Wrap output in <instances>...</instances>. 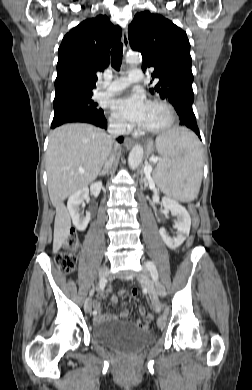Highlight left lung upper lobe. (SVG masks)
I'll return each mask as SVG.
<instances>
[{
  "label": "left lung upper lobe",
  "instance_id": "left-lung-upper-lobe-1",
  "mask_svg": "<svg viewBox=\"0 0 252 390\" xmlns=\"http://www.w3.org/2000/svg\"><path fill=\"white\" fill-rule=\"evenodd\" d=\"M133 50L142 54V70L154 68L151 93L169 100L177 110L180 105L192 107L194 93L190 43L186 33L170 20L149 11L137 13L128 27Z\"/></svg>",
  "mask_w": 252,
  "mask_h": 390
}]
</instances>
